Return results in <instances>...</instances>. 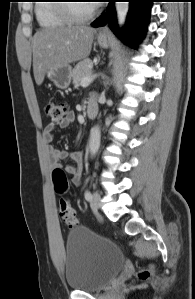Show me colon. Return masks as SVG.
Returning a JSON list of instances; mask_svg holds the SVG:
<instances>
[{
    "mask_svg": "<svg viewBox=\"0 0 195 299\" xmlns=\"http://www.w3.org/2000/svg\"><path fill=\"white\" fill-rule=\"evenodd\" d=\"M67 111L68 106L64 101H50L45 105V113L53 123H59L62 121L67 114ZM52 180L57 194H63L67 190L69 181L65 172L61 168H55L52 171ZM59 214L68 227L74 228L78 225L75 210L64 198H61L59 201ZM150 276V269H141L138 273V277L141 280H147Z\"/></svg>",
    "mask_w": 195,
    "mask_h": 299,
    "instance_id": "obj_1",
    "label": "colon"
}]
</instances>
